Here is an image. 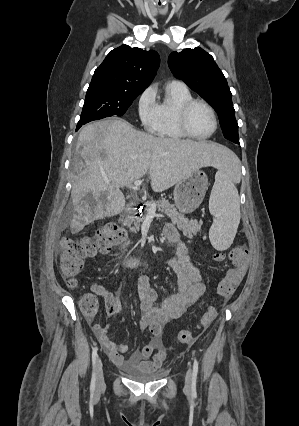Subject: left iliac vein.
<instances>
[{
    "label": "left iliac vein",
    "mask_w": 299,
    "mask_h": 426,
    "mask_svg": "<svg viewBox=\"0 0 299 426\" xmlns=\"http://www.w3.org/2000/svg\"><path fill=\"white\" fill-rule=\"evenodd\" d=\"M191 379H192V371L191 368L188 369L186 376H185V387L189 388L191 385Z\"/></svg>",
    "instance_id": "left-iliac-vein-1"
}]
</instances>
